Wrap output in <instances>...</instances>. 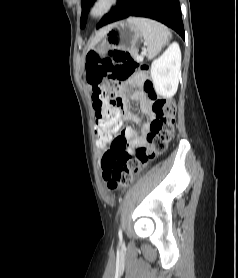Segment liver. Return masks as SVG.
<instances>
[{
	"label": "liver",
	"instance_id": "6515ba94",
	"mask_svg": "<svg viewBox=\"0 0 238 278\" xmlns=\"http://www.w3.org/2000/svg\"><path fill=\"white\" fill-rule=\"evenodd\" d=\"M106 30H107V27L106 28H103L101 29L94 37V39L92 40L90 46H89V49L93 48L95 46L96 43H98L101 38L105 35L106 33Z\"/></svg>",
	"mask_w": 238,
	"mask_h": 278
}]
</instances>
